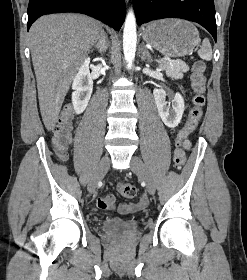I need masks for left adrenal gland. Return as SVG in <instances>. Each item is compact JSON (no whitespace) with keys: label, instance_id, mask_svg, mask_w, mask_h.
Instances as JSON below:
<instances>
[{"label":"left adrenal gland","instance_id":"a2214340","mask_svg":"<svg viewBox=\"0 0 247 280\" xmlns=\"http://www.w3.org/2000/svg\"><path fill=\"white\" fill-rule=\"evenodd\" d=\"M148 60V61H152L151 59V55L149 54L148 50L143 46L142 47V56H141V60Z\"/></svg>","mask_w":247,"mask_h":280}]
</instances>
